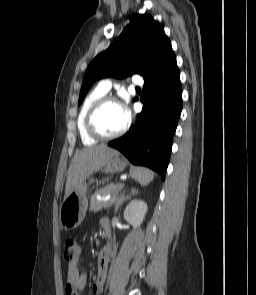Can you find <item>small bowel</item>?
I'll list each match as a JSON object with an SVG mask.
<instances>
[{
	"instance_id": "small-bowel-1",
	"label": "small bowel",
	"mask_w": 256,
	"mask_h": 295,
	"mask_svg": "<svg viewBox=\"0 0 256 295\" xmlns=\"http://www.w3.org/2000/svg\"><path fill=\"white\" fill-rule=\"evenodd\" d=\"M102 228L106 232L109 231V223L106 219L101 222ZM111 246L107 245L103 248L97 260V277L92 285L94 295H100L103 291L107 279L108 264L110 259ZM87 283V276L79 269V260L75 259L68 263L66 272V295H81Z\"/></svg>"
}]
</instances>
